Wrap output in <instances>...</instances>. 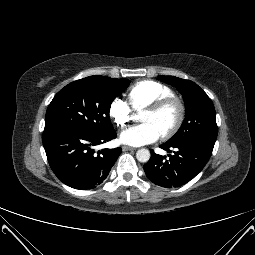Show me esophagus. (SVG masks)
<instances>
[{
	"instance_id": "esophagus-1",
	"label": "esophagus",
	"mask_w": 255,
	"mask_h": 255,
	"mask_svg": "<svg viewBox=\"0 0 255 255\" xmlns=\"http://www.w3.org/2000/svg\"><path fill=\"white\" fill-rule=\"evenodd\" d=\"M122 149H123L124 151H128V150L133 151V150H135V148L130 147V146H126V145H124V146L122 147Z\"/></svg>"
}]
</instances>
